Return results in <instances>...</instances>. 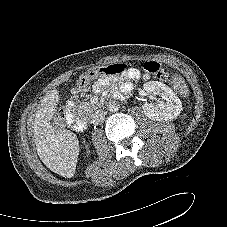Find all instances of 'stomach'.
<instances>
[{
	"mask_svg": "<svg viewBox=\"0 0 227 227\" xmlns=\"http://www.w3.org/2000/svg\"><path fill=\"white\" fill-rule=\"evenodd\" d=\"M94 72H95L96 74H98V73L100 74V73H101V72H100V68H98V69L95 70Z\"/></svg>",
	"mask_w": 227,
	"mask_h": 227,
	"instance_id": "1",
	"label": "stomach"
}]
</instances>
